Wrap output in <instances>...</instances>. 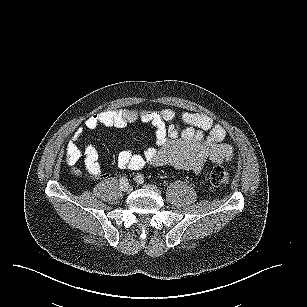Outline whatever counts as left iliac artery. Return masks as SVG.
Returning a JSON list of instances; mask_svg holds the SVG:
<instances>
[{
	"instance_id": "left-iliac-artery-1",
	"label": "left iliac artery",
	"mask_w": 307,
	"mask_h": 307,
	"mask_svg": "<svg viewBox=\"0 0 307 307\" xmlns=\"http://www.w3.org/2000/svg\"><path fill=\"white\" fill-rule=\"evenodd\" d=\"M136 180L138 183H143L144 182V177L141 174H138L136 177Z\"/></svg>"
}]
</instances>
